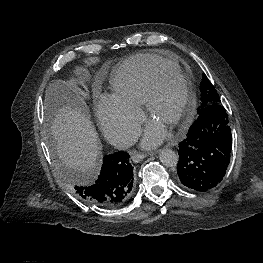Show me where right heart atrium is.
Returning <instances> with one entry per match:
<instances>
[{
	"mask_svg": "<svg viewBox=\"0 0 263 263\" xmlns=\"http://www.w3.org/2000/svg\"><path fill=\"white\" fill-rule=\"evenodd\" d=\"M97 117L104 133L121 144H129L134 140L142 121V113L138 108L112 95L99 99Z\"/></svg>",
	"mask_w": 263,
	"mask_h": 263,
	"instance_id": "d8ad5b80",
	"label": "right heart atrium"
}]
</instances>
